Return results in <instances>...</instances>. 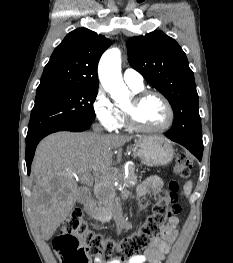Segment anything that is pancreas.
<instances>
[{
  "mask_svg": "<svg viewBox=\"0 0 233 263\" xmlns=\"http://www.w3.org/2000/svg\"><path fill=\"white\" fill-rule=\"evenodd\" d=\"M124 174H121L119 181L121 184L127 188H132L137 184V176L133 170L129 171L127 178L124 181H121ZM129 191L124 189L122 191V196H128ZM119 197L116 196L115 192H100L97 197V204L91 209L90 215L95 220H98L102 223L110 222L113 217V212L118 205Z\"/></svg>",
  "mask_w": 233,
  "mask_h": 263,
  "instance_id": "cf45deb5",
  "label": "pancreas"
}]
</instances>
